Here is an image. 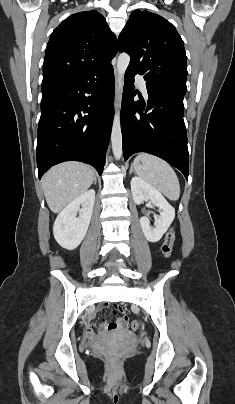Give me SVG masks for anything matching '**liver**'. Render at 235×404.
Here are the masks:
<instances>
[{"mask_svg":"<svg viewBox=\"0 0 235 404\" xmlns=\"http://www.w3.org/2000/svg\"><path fill=\"white\" fill-rule=\"evenodd\" d=\"M94 177L91 167L80 162H64L52 167L41 180L50 210L59 213L90 188Z\"/></svg>","mask_w":235,"mask_h":404,"instance_id":"1","label":"liver"}]
</instances>
